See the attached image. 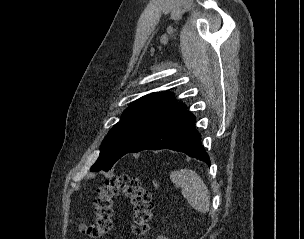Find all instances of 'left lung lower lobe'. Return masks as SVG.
Listing matches in <instances>:
<instances>
[{"mask_svg": "<svg viewBox=\"0 0 304 239\" xmlns=\"http://www.w3.org/2000/svg\"><path fill=\"white\" fill-rule=\"evenodd\" d=\"M195 117L189 111L157 128L127 153L142 150L171 149L202 160L210 165L209 156L205 152L200 134L195 128ZM126 153V154H127Z\"/></svg>", "mask_w": 304, "mask_h": 239, "instance_id": "obj_1", "label": "left lung lower lobe"}]
</instances>
